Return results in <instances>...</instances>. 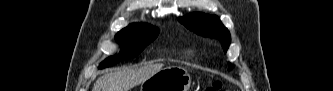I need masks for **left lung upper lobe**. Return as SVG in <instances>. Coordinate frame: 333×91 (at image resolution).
<instances>
[{
    "mask_svg": "<svg viewBox=\"0 0 333 91\" xmlns=\"http://www.w3.org/2000/svg\"><path fill=\"white\" fill-rule=\"evenodd\" d=\"M178 21L199 35L218 39L224 51H227L231 42L230 33L217 16L191 13L178 18Z\"/></svg>",
    "mask_w": 333,
    "mask_h": 91,
    "instance_id": "5c2ea615",
    "label": "left lung upper lobe"
}]
</instances>
